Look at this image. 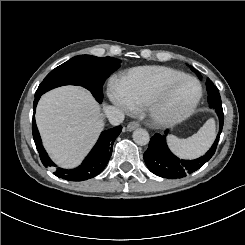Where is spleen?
Returning a JSON list of instances; mask_svg holds the SVG:
<instances>
[{
    "mask_svg": "<svg viewBox=\"0 0 245 245\" xmlns=\"http://www.w3.org/2000/svg\"><path fill=\"white\" fill-rule=\"evenodd\" d=\"M216 138V125L213 118L208 119L196 134L179 139L174 135L167 137L170 149L180 158L195 159L205 154Z\"/></svg>",
    "mask_w": 245,
    "mask_h": 245,
    "instance_id": "spleen-1",
    "label": "spleen"
}]
</instances>
